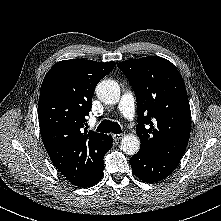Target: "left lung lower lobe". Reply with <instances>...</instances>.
<instances>
[{
  "instance_id": "1",
  "label": "left lung lower lobe",
  "mask_w": 221,
  "mask_h": 221,
  "mask_svg": "<svg viewBox=\"0 0 221 221\" xmlns=\"http://www.w3.org/2000/svg\"><path fill=\"white\" fill-rule=\"evenodd\" d=\"M180 161L157 158L142 151L131 157L133 173L141 180L154 183L169 176Z\"/></svg>"
}]
</instances>
